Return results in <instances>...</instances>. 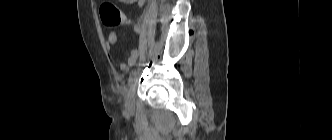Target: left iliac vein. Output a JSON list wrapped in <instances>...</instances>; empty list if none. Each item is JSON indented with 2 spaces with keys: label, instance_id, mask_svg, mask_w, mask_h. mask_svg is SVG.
I'll return each mask as SVG.
<instances>
[{
  "label": "left iliac vein",
  "instance_id": "4c4485c4",
  "mask_svg": "<svg viewBox=\"0 0 332 140\" xmlns=\"http://www.w3.org/2000/svg\"><path fill=\"white\" fill-rule=\"evenodd\" d=\"M135 79L130 83V89L125 98V109L127 112L131 113L135 109Z\"/></svg>",
  "mask_w": 332,
  "mask_h": 140
}]
</instances>
